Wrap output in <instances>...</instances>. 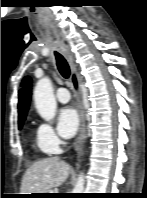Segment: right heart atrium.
<instances>
[{"label": "right heart atrium", "mask_w": 147, "mask_h": 198, "mask_svg": "<svg viewBox=\"0 0 147 198\" xmlns=\"http://www.w3.org/2000/svg\"><path fill=\"white\" fill-rule=\"evenodd\" d=\"M37 141L44 153H56L62 143L55 129L48 123H41L37 129Z\"/></svg>", "instance_id": "1"}]
</instances>
